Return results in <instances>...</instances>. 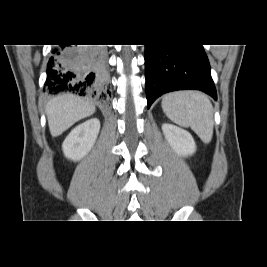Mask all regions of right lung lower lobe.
<instances>
[{
    "instance_id": "right-lung-lower-lobe-1",
    "label": "right lung lower lobe",
    "mask_w": 267,
    "mask_h": 267,
    "mask_svg": "<svg viewBox=\"0 0 267 267\" xmlns=\"http://www.w3.org/2000/svg\"><path fill=\"white\" fill-rule=\"evenodd\" d=\"M47 65L45 91L71 92L105 100L107 86L106 52L102 47L75 48L57 45Z\"/></svg>"
}]
</instances>
